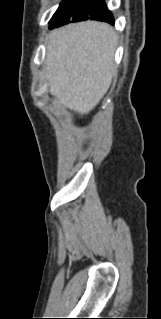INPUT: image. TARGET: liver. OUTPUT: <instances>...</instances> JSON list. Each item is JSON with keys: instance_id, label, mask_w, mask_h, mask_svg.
I'll list each match as a JSON object with an SVG mask.
<instances>
[{"instance_id": "6515ba94", "label": "liver", "mask_w": 161, "mask_h": 319, "mask_svg": "<svg viewBox=\"0 0 161 319\" xmlns=\"http://www.w3.org/2000/svg\"><path fill=\"white\" fill-rule=\"evenodd\" d=\"M117 39L110 25L96 21L69 24L50 32L45 79L61 106L82 115L95 108L116 73Z\"/></svg>"}]
</instances>
